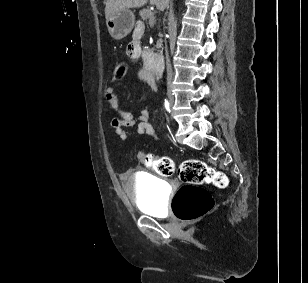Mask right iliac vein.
I'll list each match as a JSON object with an SVG mask.
<instances>
[{
	"label": "right iliac vein",
	"mask_w": 308,
	"mask_h": 283,
	"mask_svg": "<svg viewBox=\"0 0 308 283\" xmlns=\"http://www.w3.org/2000/svg\"><path fill=\"white\" fill-rule=\"evenodd\" d=\"M169 102H170V104L172 105V104H173V99L170 98V99H169Z\"/></svg>",
	"instance_id": "63e3f726"
}]
</instances>
